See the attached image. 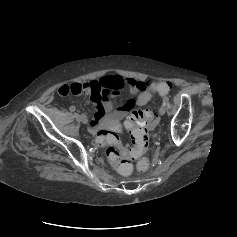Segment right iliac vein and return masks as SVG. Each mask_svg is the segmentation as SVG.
I'll return each mask as SVG.
<instances>
[{
  "instance_id": "63e3f726",
  "label": "right iliac vein",
  "mask_w": 237,
  "mask_h": 237,
  "mask_svg": "<svg viewBox=\"0 0 237 237\" xmlns=\"http://www.w3.org/2000/svg\"><path fill=\"white\" fill-rule=\"evenodd\" d=\"M80 120L83 124H87L88 123V119L87 116L85 114H81L80 115Z\"/></svg>"
}]
</instances>
